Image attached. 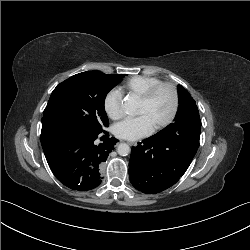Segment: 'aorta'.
<instances>
[{
    "label": "aorta",
    "instance_id": "obj_1",
    "mask_svg": "<svg viewBox=\"0 0 250 250\" xmlns=\"http://www.w3.org/2000/svg\"><path fill=\"white\" fill-rule=\"evenodd\" d=\"M137 102L132 99L128 98L123 103V110L128 115H135L137 114ZM117 152L121 156H127L130 153V147L126 143H121L117 147Z\"/></svg>",
    "mask_w": 250,
    "mask_h": 250
}]
</instances>
